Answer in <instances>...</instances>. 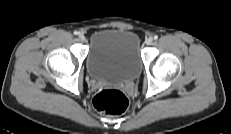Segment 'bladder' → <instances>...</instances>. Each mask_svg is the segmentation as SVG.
Listing matches in <instances>:
<instances>
[{
	"mask_svg": "<svg viewBox=\"0 0 231 134\" xmlns=\"http://www.w3.org/2000/svg\"><path fill=\"white\" fill-rule=\"evenodd\" d=\"M85 64L88 75L94 80H132L142 68L140 40L129 30H98L89 39Z\"/></svg>",
	"mask_w": 231,
	"mask_h": 134,
	"instance_id": "obj_1",
	"label": "bladder"
}]
</instances>
